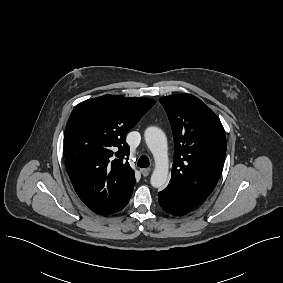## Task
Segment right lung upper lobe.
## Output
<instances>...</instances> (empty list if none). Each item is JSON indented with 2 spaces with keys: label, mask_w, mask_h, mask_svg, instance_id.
<instances>
[{
  "label": "right lung upper lobe",
  "mask_w": 283,
  "mask_h": 283,
  "mask_svg": "<svg viewBox=\"0 0 283 283\" xmlns=\"http://www.w3.org/2000/svg\"><path fill=\"white\" fill-rule=\"evenodd\" d=\"M155 102L104 95L73 109L64 135L66 166L79 198L95 213L109 215L128 203L135 176L126 134Z\"/></svg>",
  "instance_id": "right-lung-upper-lobe-1"
}]
</instances>
